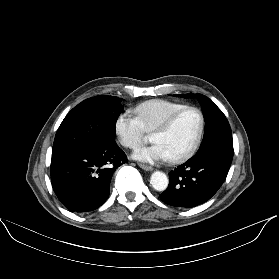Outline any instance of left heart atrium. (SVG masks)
Wrapping results in <instances>:
<instances>
[{
  "mask_svg": "<svg viewBox=\"0 0 279 279\" xmlns=\"http://www.w3.org/2000/svg\"><path fill=\"white\" fill-rule=\"evenodd\" d=\"M133 157L145 162H156L169 159L168 153L159 143L139 148L133 153Z\"/></svg>",
  "mask_w": 279,
  "mask_h": 279,
  "instance_id": "left-heart-atrium-1",
  "label": "left heart atrium"
}]
</instances>
